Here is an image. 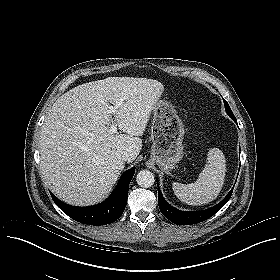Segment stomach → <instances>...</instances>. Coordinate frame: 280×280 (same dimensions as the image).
Instances as JSON below:
<instances>
[{
    "instance_id": "0dacf381",
    "label": "stomach",
    "mask_w": 280,
    "mask_h": 280,
    "mask_svg": "<svg viewBox=\"0 0 280 280\" xmlns=\"http://www.w3.org/2000/svg\"><path fill=\"white\" fill-rule=\"evenodd\" d=\"M153 113L150 158L161 170L168 172L183 158L184 126L169 102L158 101Z\"/></svg>"
}]
</instances>
